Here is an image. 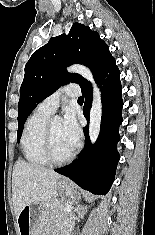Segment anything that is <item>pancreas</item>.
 I'll use <instances>...</instances> for the list:
<instances>
[{
  "mask_svg": "<svg viewBox=\"0 0 155 235\" xmlns=\"http://www.w3.org/2000/svg\"><path fill=\"white\" fill-rule=\"evenodd\" d=\"M63 204L58 199H52L48 202H45V209L50 216L53 217H61L65 214V210L63 209Z\"/></svg>",
  "mask_w": 155,
  "mask_h": 235,
  "instance_id": "pancreas-1",
  "label": "pancreas"
}]
</instances>
